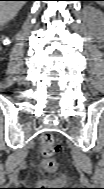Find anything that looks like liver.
<instances>
[{"label":"liver","instance_id":"6515ba94","mask_svg":"<svg viewBox=\"0 0 104 189\" xmlns=\"http://www.w3.org/2000/svg\"><path fill=\"white\" fill-rule=\"evenodd\" d=\"M25 4L24 1H1L0 2V23L5 25L8 21L12 20L18 11Z\"/></svg>","mask_w":104,"mask_h":189}]
</instances>
